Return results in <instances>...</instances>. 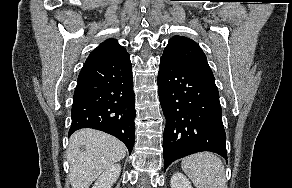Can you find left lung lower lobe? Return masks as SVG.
<instances>
[{
	"instance_id": "1",
	"label": "left lung lower lobe",
	"mask_w": 292,
	"mask_h": 188,
	"mask_svg": "<svg viewBox=\"0 0 292 188\" xmlns=\"http://www.w3.org/2000/svg\"><path fill=\"white\" fill-rule=\"evenodd\" d=\"M157 82L166 117L165 169L173 161L201 151L215 152L227 159L226 135L214 78L161 57Z\"/></svg>"
}]
</instances>
